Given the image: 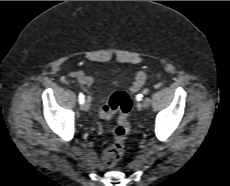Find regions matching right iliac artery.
<instances>
[{
  "label": "right iliac artery",
  "instance_id": "obj_1",
  "mask_svg": "<svg viewBox=\"0 0 230 186\" xmlns=\"http://www.w3.org/2000/svg\"><path fill=\"white\" fill-rule=\"evenodd\" d=\"M84 95L82 94V93H80V95H79V103L80 104H83L84 103Z\"/></svg>",
  "mask_w": 230,
  "mask_h": 186
}]
</instances>
